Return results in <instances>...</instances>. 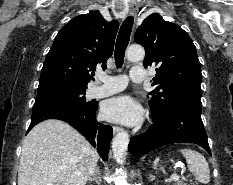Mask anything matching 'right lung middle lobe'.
<instances>
[{
  "label": "right lung middle lobe",
  "mask_w": 233,
  "mask_h": 185,
  "mask_svg": "<svg viewBox=\"0 0 233 185\" xmlns=\"http://www.w3.org/2000/svg\"><path fill=\"white\" fill-rule=\"evenodd\" d=\"M86 89H70V88H51L38 90L36 101L40 100H58L67 101L79 105L91 106V102H87L85 98Z\"/></svg>",
  "instance_id": "obj_1"
}]
</instances>
